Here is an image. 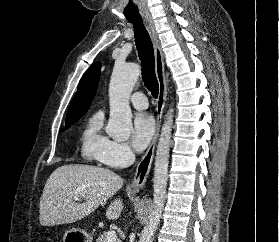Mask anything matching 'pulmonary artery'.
<instances>
[{
  "mask_svg": "<svg viewBox=\"0 0 279 242\" xmlns=\"http://www.w3.org/2000/svg\"><path fill=\"white\" fill-rule=\"evenodd\" d=\"M130 101L136 109L144 110L148 107L147 97L142 92L134 93L131 96Z\"/></svg>",
  "mask_w": 279,
  "mask_h": 242,
  "instance_id": "pulmonary-artery-1",
  "label": "pulmonary artery"
}]
</instances>
